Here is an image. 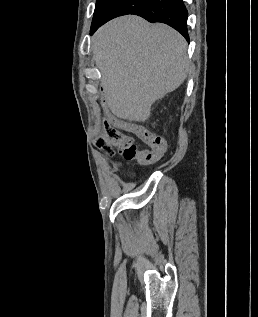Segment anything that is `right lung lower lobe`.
Here are the masks:
<instances>
[{
	"label": "right lung lower lobe",
	"instance_id": "98d812e1",
	"mask_svg": "<svg viewBox=\"0 0 258 317\" xmlns=\"http://www.w3.org/2000/svg\"><path fill=\"white\" fill-rule=\"evenodd\" d=\"M126 14L139 15L149 22L168 24L189 41L188 12L182 0H97L90 34L107 21Z\"/></svg>",
	"mask_w": 258,
	"mask_h": 317
}]
</instances>
